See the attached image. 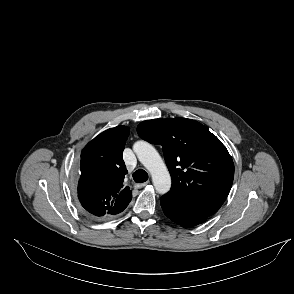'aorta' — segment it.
Segmentation results:
<instances>
[{"instance_id":"1","label":"aorta","mask_w":294,"mask_h":294,"mask_svg":"<svg viewBox=\"0 0 294 294\" xmlns=\"http://www.w3.org/2000/svg\"><path fill=\"white\" fill-rule=\"evenodd\" d=\"M133 150L139 161L150 172L156 191L165 194L171 187V177L168 169L156 149L145 141L134 144Z\"/></svg>"}]
</instances>
